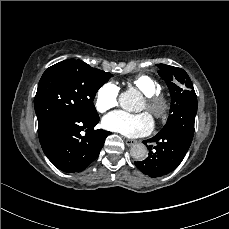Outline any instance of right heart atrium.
Listing matches in <instances>:
<instances>
[{"label": "right heart atrium", "mask_w": 229, "mask_h": 229, "mask_svg": "<svg viewBox=\"0 0 229 229\" xmlns=\"http://www.w3.org/2000/svg\"><path fill=\"white\" fill-rule=\"evenodd\" d=\"M119 87L113 82L102 84L94 95V106L97 111L104 113L118 104Z\"/></svg>", "instance_id": "obj_1"}]
</instances>
